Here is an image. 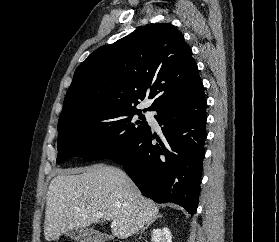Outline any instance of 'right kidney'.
Wrapping results in <instances>:
<instances>
[{"label":"right kidney","mask_w":279,"mask_h":242,"mask_svg":"<svg viewBox=\"0 0 279 242\" xmlns=\"http://www.w3.org/2000/svg\"><path fill=\"white\" fill-rule=\"evenodd\" d=\"M151 241L152 242H172L171 232L167 227L162 229L157 228L153 229L151 233Z\"/></svg>","instance_id":"1"}]
</instances>
